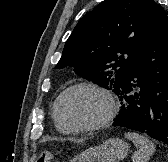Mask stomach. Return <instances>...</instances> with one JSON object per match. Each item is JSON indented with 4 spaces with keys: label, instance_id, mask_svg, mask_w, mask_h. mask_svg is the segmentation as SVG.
<instances>
[{
    "label": "stomach",
    "instance_id": "stomach-1",
    "mask_svg": "<svg viewBox=\"0 0 168 162\" xmlns=\"http://www.w3.org/2000/svg\"><path fill=\"white\" fill-rule=\"evenodd\" d=\"M128 153V145L119 138H110L103 144L89 148L71 162H119Z\"/></svg>",
    "mask_w": 168,
    "mask_h": 162
}]
</instances>
